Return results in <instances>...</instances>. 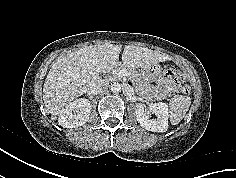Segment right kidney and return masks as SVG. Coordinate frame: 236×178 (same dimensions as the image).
I'll list each match as a JSON object with an SVG mask.
<instances>
[{
  "mask_svg": "<svg viewBox=\"0 0 236 178\" xmlns=\"http://www.w3.org/2000/svg\"><path fill=\"white\" fill-rule=\"evenodd\" d=\"M90 101L85 98L77 99L66 105L59 115V125L63 128H76L84 125L90 116Z\"/></svg>",
  "mask_w": 236,
  "mask_h": 178,
  "instance_id": "right-kidney-1",
  "label": "right kidney"
}]
</instances>
